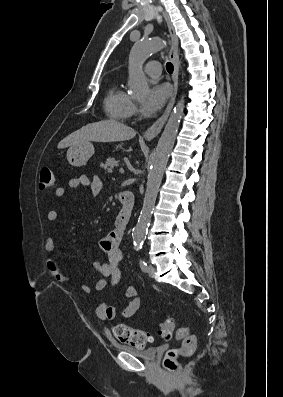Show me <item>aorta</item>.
Wrapping results in <instances>:
<instances>
[{"mask_svg":"<svg viewBox=\"0 0 283 397\" xmlns=\"http://www.w3.org/2000/svg\"><path fill=\"white\" fill-rule=\"evenodd\" d=\"M162 47V41L156 38L139 41L131 49L128 66V86L134 97L142 99L149 93L147 79L143 73V64L152 53L160 50ZM183 110L184 100L181 99L171 112L153 155L143 207L132 232L135 249H140L145 239L164 169L174 146Z\"/></svg>","mask_w":283,"mask_h":397,"instance_id":"obj_1","label":"aorta"}]
</instances>
